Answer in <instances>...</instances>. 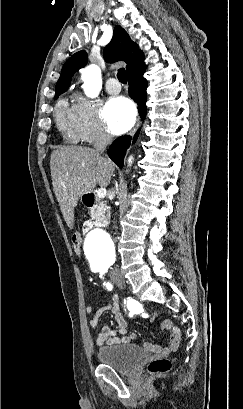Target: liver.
Instances as JSON below:
<instances>
[{
	"instance_id": "1",
	"label": "liver",
	"mask_w": 243,
	"mask_h": 409,
	"mask_svg": "<svg viewBox=\"0 0 243 409\" xmlns=\"http://www.w3.org/2000/svg\"><path fill=\"white\" fill-rule=\"evenodd\" d=\"M52 185L67 226H74V208L79 198L110 183L114 164L94 149L64 146L51 154Z\"/></svg>"
}]
</instances>
